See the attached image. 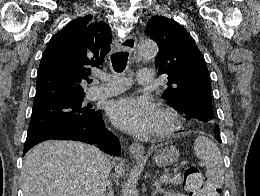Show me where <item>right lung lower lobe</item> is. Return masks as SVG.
<instances>
[{
  "instance_id": "obj_1",
  "label": "right lung lower lobe",
  "mask_w": 260,
  "mask_h": 196,
  "mask_svg": "<svg viewBox=\"0 0 260 196\" xmlns=\"http://www.w3.org/2000/svg\"><path fill=\"white\" fill-rule=\"evenodd\" d=\"M49 139L75 140L88 144H97L102 151L108 154L114 156L120 155L119 140L105 128L101 113L99 111L95 112V117L87 123L73 128L41 135L32 140L26 141L23 156L36 144Z\"/></svg>"
}]
</instances>
